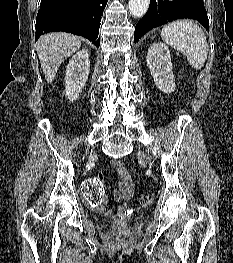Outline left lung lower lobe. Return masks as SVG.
<instances>
[{
  "label": "left lung lower lobe",
  "instance_id": "left-lung-lower-lobe-1",
  "mask_svg": "<svg viewBox=\"0 0 233 263\" xmlns=\"http://www.w3.org/2000/svg\"><path fill=\"white\" fill-rule=\"evenodd\" d=\"M198 20L207 30L209 20L203 0H150L147 13L137 23L134 42L149 30L176 19Z\"/></svg>",
  "mask_w": 233,
  "mask_h": 263
}]
</instances>
